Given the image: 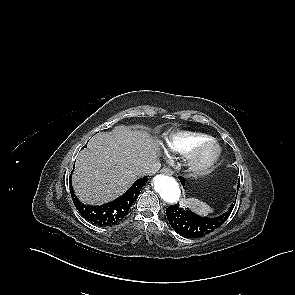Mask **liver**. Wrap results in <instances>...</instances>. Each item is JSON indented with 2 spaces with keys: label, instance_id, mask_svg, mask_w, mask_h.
<instances>
[{
  "label": "liver",
  "instance_id": "liver-1",
  "mask_svg": "<svg viewBox=\"0 0 295 295\" xmlns=\"http://www.w3.org/2000/svg\"><path fill=\"white\" fill-rule=\"evenodd\" d=\"M158 145L141 130L119 125L93 136L76 160L72 178L79 199L101 205L123 194L157 160Z\"/></svg>",
  "mask_w": 295,
  "mask_h": 295
}]
</instances>
